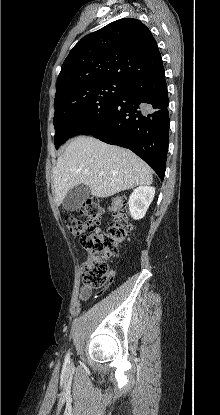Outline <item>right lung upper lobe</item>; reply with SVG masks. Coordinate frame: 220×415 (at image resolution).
Returning a JSON list of instances; mask_svg holds the SVG:
<instances>
[{
    "mask_svg": "<svg viewBox=\"0 0 220 415\" xmlns=\"http://www.w3.org/2000/svg\"><path fill=\"white\" fill-rule=\"evenodd\" d=\"M163 67L151 31L141 21L124 18L83 37L65 59L56 94L79 83H129Z\"/></svg>",
    "mask_w": 220,
    "mask_h": 415,
    "instance_id": "right-lung-upper-lobe-1",
    "label": "right lung upper lobe"
}]
</instances>
